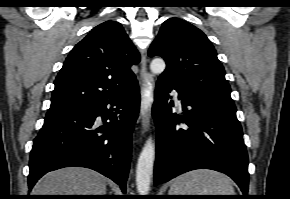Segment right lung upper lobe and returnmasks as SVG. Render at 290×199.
<instances>
[{
	"label": "right lung upper lobe",
	"instance_id": "1",
	"mask_svg": "<svg viewBox=\"0 0 290 199\" xmlns=\"http://www.w3.org/2000/svg\"><path fill=\"white\" fill-rule=\"evenodd\" d=\"M139 61L122 26L115 21L101 23L66 58L55 79L47 115L90 106L121 93L136 81L130 67Z\"/></svg>",
	"mask_w": 290,
	"mask_h": 199
}]
</instances>
